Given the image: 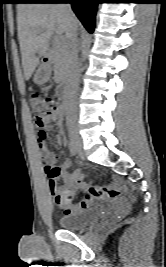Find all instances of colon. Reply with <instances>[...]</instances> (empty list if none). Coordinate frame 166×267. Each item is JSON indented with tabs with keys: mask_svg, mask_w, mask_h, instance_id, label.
<instances>
[{
	"mask_svg": "<svg viewBox=\"0 0 166 267\" xmlns=\"http://www.w3.org/2000/svg\"><path fill=\"white\" fill-rule=\"evenodd\" d=\"M29 102L33 111V118L37 129V139L41 148H44L46 140V129L43 119L52 114L57 109V103L51 97L43 96L38 92H33L29 96ZM45 172L49 178H55L58 175L57 168L54 167L49 161L45 162ZM67 199L69 195L65 196Z\"/></svg>",
	"mask_w": 166,
	"mask_h": 267,
	"instance_id": "colon-1",
	"label": "colon"
}]
</instances>
